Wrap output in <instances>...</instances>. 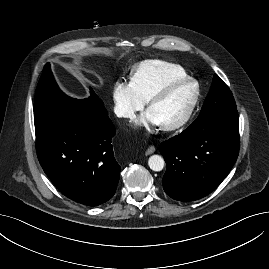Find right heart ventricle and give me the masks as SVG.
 I'll use <instances>...</instances> for the list:
<instances>
[{
	"instance_id": "obj_1",
	"label": "right heart ventricle",
	"mask_w": 269,
	"mask_h": 269,
	"mask_svg": "<svg viewBox=\"0 0 269 269\" xmlns=\"http://www.w3.org/2000/svg\"><path fill=\"white\" fill-rule=\"evenodd\" d=\"M186 78L187 72L177 64L162 60H146L136 67L130 82L146 102L162 87Z\"/></svg>"
}]
</instances>
